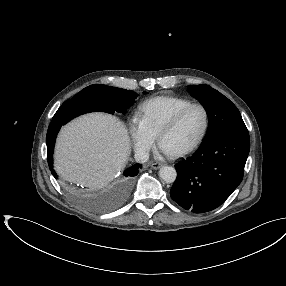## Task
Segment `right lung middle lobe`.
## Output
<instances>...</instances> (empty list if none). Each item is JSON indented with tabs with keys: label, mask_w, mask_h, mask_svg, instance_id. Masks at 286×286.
I'll list each match as a JSON object with an SVG mask.
<instances>
[{
	"label": "right lung middle lobe",
	"mask_w": 286,
	"mask_h": 286,
	"mask_svg": "<svg viewBox=\"0 0 286 286\" xmlns=\"http://www.w3.org/2000/svg\"><path fill=\"white\" fill-rule=\"evenodd\" d=\"M144 94L147 92H143ZM137 93L116 87L93 84L65 101L57 110L52 120L62 124L84 113L103 111L110 114L114 112L125 113L127 108L135 102ZM130 181L124 179L123 185L128 191Z\"/></svg>",
	"instance_id": "obj_1"
}]
</instances>
